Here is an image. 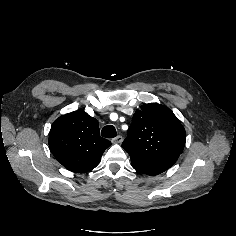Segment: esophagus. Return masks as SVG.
I'll list each match as a JSON object with an SVG mask.
<instances>
[{"label":"esophagus","mask_w":236,"mask_h":236,"mask_svg":"<svg viewBox=\"0 0 236 236\" xmlns=\"http://www.w3.org/2000/svg\"><path fill=\"white\" fill-rule=\"evenodd\" d=\"M122 141H123V137L120 136V135H118V136H116L115 138L112 139L113 144H121Z\"/></svg>","instance_id":"1"}]
</instances>
